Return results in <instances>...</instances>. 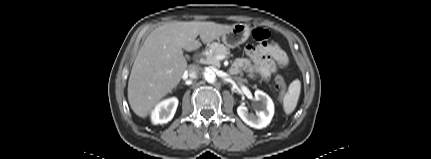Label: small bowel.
Returning <instances> with one entry per match:
<instances>
[{"mask_svg":"<svg viewBox=\"0 0 431 159\" xmlns=\"http://www.w3.org/2000/svg\"><path fill=\"white\" fill-rule=\"evenodd\" d=\"M245 50L248 59L239 60L235 69L253 68L265 80L287 64L285 52L272 40L269 44L248 45Z\"/></svg>","mask_w":431,"mask_h":159,"instance_id":"c3829d8e","label":"small bowel"}]
</instances>
